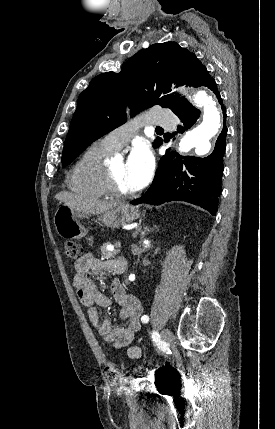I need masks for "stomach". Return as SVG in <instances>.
<instances>
[{"instance_id":"0dacf381","label":"stomach","mask_w":275,"mask_h":429,"mask_svg":"<svg viewBox=\"0 0 275 429\" xmlns=\"http://www.w3.org/2000/svg\"><path fill=\"white\" fill-rule=\"evenodd\" d=\"M139 216L136 207L121 204L101 214L98 220L109 227H118L134 221ZM88 218L86 214L78 213L72 208L62 205L56 210L53 218L56 232L66 239H80L88 233L80 219Z\"/></svg>"}]
</instances>
